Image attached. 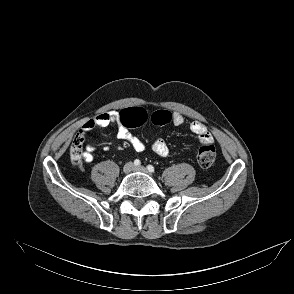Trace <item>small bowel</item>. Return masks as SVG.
<instances>
[{
	"label": "small bowel",
	"mask_w": 294,
	"mask_h": 294,
	"mask_svg": "<svg viewBox=\"0 0 294 294\" xmlns=\"http://www.w3.org/2000/svg\"><path fill=\"white\" fill-rule=\"evenodd\" d=\"M172 122L176 126H182L185 124V118L179 112H172ZM117 127V137L121 140L127 141L137 152H142L145 150V143L136 135L132 134L121 122L119 119V112L112 110L102 114L97 115L96 117L87 121L84 126L82 133L83 135L90 130L96 127H108V126ZM190 130L195 133L199 139V142L202 145L211 144L213 142V137L209 132L205 124L199 121H193L190 123ZM104 149H109L108 146H104ZM151 149L159 156L166 157L169 154V147L167 143L158 138L154 140L151 144ZM95 148L89 145L86 151L83 154V159L86 162H91L93 160V154Z\"/></svg>",
	"instance_id": "c3829d8e"
}]
</instances>
